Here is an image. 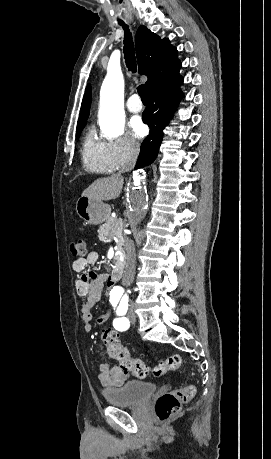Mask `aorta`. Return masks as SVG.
<instances>
[{
  "label": "aorta",
  "instance_id": "1",
  "mask_svg": "<svg viewBox=\"0 0 271 459\" xmlns=\"http://www.w3.org/2000/svg\"><path fill=\"white\" fill-rule=\"evenodd\" d=\"M124 121V79L120 71H110L100 91V127L107 136L117 137L124 131ZM126 202V215L131 228H134L143 221L148 208L145 172L137 171L133 174Z\"/></svg>",
  "mask_w": 271,
  "mask_h": 459
}]
</instances>
